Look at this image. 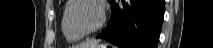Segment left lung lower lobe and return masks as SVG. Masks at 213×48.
Segmentation results:
<instances>
[{"label": "left lung lower lobe", "instance_id": "1", "mask_svg": "<svg viewBox=\"0 0 213 48\" xmlns=\"http://www.w3.org/2000/svg\"><path fill=\"white\" fill-rule=\"evenodd\" d=\"M114 3L107 28L97 36L119 48H157L164 0H121Z\"/></svg>", "mask_w": 213, "mask_h": 48}]
</instances>
